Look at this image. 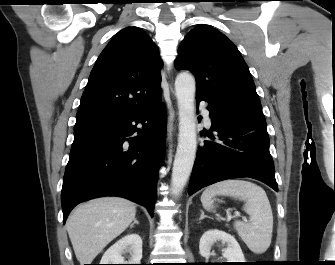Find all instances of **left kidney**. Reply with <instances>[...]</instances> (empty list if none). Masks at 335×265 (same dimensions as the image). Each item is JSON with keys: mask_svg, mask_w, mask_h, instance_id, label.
Here are the masks:
<instances>
[{"mask_svg": "<svg viewBox=\"0 0 335 265\" xmlns=\"http://www.w3.org/2000/svg\"><path fill=\"white\" fill-rule=\"evenodd\" d=\"M218 241L227 244V248L223 249V257L227 259V262H245L244 255L235 237L217 229L208 230L202 235L199 243L201 256L209 258L212 255V246Z\"/></svg>", "mask_w": 335, "mask_h": 265, "instance_id": "1", "label": "left kidney"}]
</instances>
